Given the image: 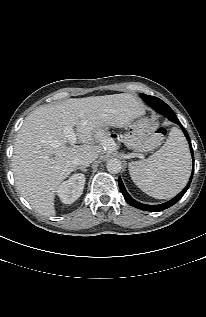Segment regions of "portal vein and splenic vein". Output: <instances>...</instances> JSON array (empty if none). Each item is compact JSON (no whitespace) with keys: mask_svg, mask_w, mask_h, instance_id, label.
<instances>
[{"mask_svg":"<svg viewBox=\"0 0 206 317\" xmlns=\"http://www.w3.org/2000/svg\"><path fill=\"white\" fill-rule=\"evenodd\" d=\"M64 133L68 138L69 144L74 145L76 143V134L74 133L73 128L71 126L65 127Z\"/></svg>","mask_w":206,"mask_h":317,"instance_id":"1","label":"portal vein and splenic vein"}]
</instances>
